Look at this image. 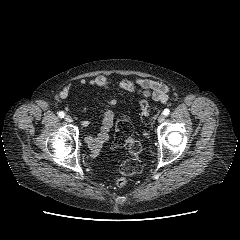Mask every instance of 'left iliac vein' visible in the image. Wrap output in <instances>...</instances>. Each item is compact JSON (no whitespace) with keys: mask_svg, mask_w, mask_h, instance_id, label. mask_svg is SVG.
<instances>
[{"mask_svg":"<svg viewBox=\"0 0 240 240\" xmlns=\"http://www.w3.org/2000/svg\"><path fill=\"white\" fill-rule=\"evenodd\" d=\"M164 120H165V115H164V114H161V115L158 117V122H159V123H162Z\"/></svg>","mask_w":240,"mask_h":240,"instance_id":"obj_1","label":"left iliac vein"}]
</instances>
